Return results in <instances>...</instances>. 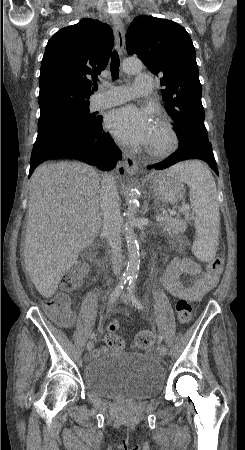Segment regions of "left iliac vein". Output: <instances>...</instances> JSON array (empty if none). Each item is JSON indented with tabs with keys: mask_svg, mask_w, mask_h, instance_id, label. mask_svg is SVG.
<instances>
[{
	"mask_svg": "<svg viewBox=\"0 0 245 450\" xmlns=\"http://www.w3.org/2000/svg\"><path fill=\"white\" fill-rule=\"evenodd\" d=\"M121 299L124 303L129 304V298L126 293H122ZM159 352L161 355L166 356L168 353L167 347L163 344L160 345Z\"/></svg>",
	"mask_w": 245,
	"mask_h": 450,
	"instance_id": "1",
	"label": "left iliac vein"
}]
</instances>
